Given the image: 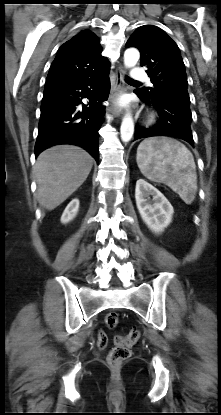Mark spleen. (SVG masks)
Returning a JSON list of instances; mask_svg holds the SVG:
<instances>
[{
    "instance_id": "spleen-1",
    "label": "spleen",
    "mask_w": 221,
    "mask_h": 415,
    "mask_svg": "<svg viewBox=\"0 0 221 415\" xmlns=\"http://www.w3.org/2000/svg\"><path fill=\"white\" fill-rule=\"evenodd\" d=\"M137 165L149 180L163 183L191 204L197 191L196 165L185 145L171 138H148L137 148Z\"/></svg>"
}]
</instances>
